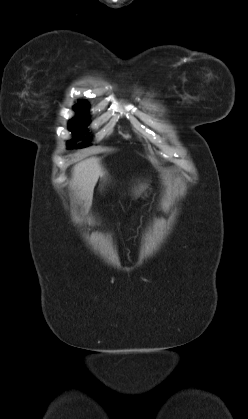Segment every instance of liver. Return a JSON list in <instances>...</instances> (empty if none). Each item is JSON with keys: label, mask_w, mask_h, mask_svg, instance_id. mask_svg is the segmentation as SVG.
<instances>
[{"label": "liver", "mask_w": 248, "mask_h": 419, "mask_svg": "<svg viewBox=\"0 0 248 419\" xmlns=\"http://www.w3.org/2000/svg\"><path fill=\"white\" fill-rule=\"evenodd\" d=\"M104 175L98 158H87L78 162L73 168L72 188L86 202L88 208L92 203L94 187L99 177L103 178Z\"/></svg>", "instance_id": "1"}]
</instances>
